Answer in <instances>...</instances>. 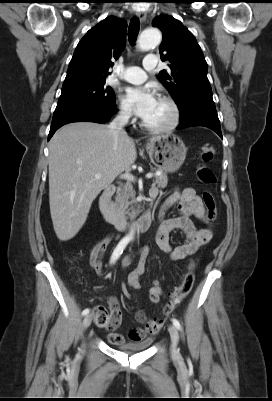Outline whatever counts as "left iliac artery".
Listing matches in <instances>:
<instances>
[{"instance_id": "obj_1", "label": "left iliac artery", "mask_w": 272, "mask_h": 401, "mask_svg": "<svg viewBox=\"0 0 272 401\" xmlns=\"http://www.w3.org/2000/svg\"><path fill=\"white\" fill-rule=\"evenodd\" d=\"M172 322H173V325H174L177 329H180V328H181L180 322H179L177 319L173 318V319H172Z\"/></svg>"}]
</instances>
